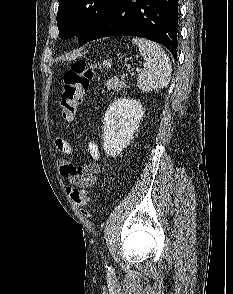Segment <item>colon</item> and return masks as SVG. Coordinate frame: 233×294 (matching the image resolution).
I'll return each instance as SVG.
<instances>
[{"label": "colon", "mask_w": 233, "mask_h": 294, "mask_svg": "<svg viewBox=\"0 0 233 294\" xmlns=\"http://www.w3.org/2000/svg\"><path fill=\"white\" fill-rule=\"evenodd\" d=\"M64 89L60 100L61 117L64 120H72L82 102L83 95L89 87L92 79L91 70L87 69L83 60L75 61L71 68L64 73ZM71 202L76 206H84L91 202V196L84 189L69 187L67 189ZM87 214V211H83Z\"/></svg>", "instance_id": "1"}]
</instances>
